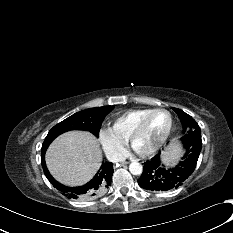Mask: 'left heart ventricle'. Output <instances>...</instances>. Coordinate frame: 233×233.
Wrapping results in <instances>:
<instances>
[{"label":"left heart ventricle","instance_id":"obj_1","mask_svg":"<svg viewBox=\"0 0 233 233\" xmlns=\"http://www.w3.org/2000/svg\"><path fill=\"white\" fill-rule=\"evenodd\" d=\"M169 124L168 114L156 112L148 119L143 132L136 141L139 150H146L155 145L164 135Z\"/></svg>","mask_w":233,"mask_h":233}]
</instances>
